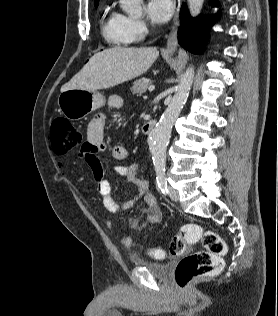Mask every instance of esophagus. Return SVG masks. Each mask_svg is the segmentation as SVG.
I'll list each match as a JSON object with an SVG mask.
<instances>
[{
	"label": "esophagus",
	"mask_w": 278,
	"mask_h": 316,
	"mask_svg": "<svg viewBox=\"0 0 278 316\" xmlns=\"http://www.w3.org/2000/svg\"><path fill=\"white\" fill-rule=\"evenodd\" d=\"M174 10L175 14L173 17V22L171 25L170 33L167 39L166 52L173 54L176 52L178 47V30L180 25V9L183 3V0H174Z\"/></svg>",
	"instance_id": "1"
}]
</instances>
